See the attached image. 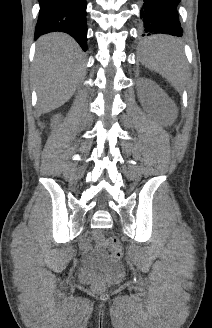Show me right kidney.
<instances>
[{"label": "right kidney", "mask_w": 212, "mask_h": 328, "mask_svg": "<svg viewBox=\"0 0 212 328\" xmlns=\"http://www.w3.org/2000/svg\"><path fill=\"white\" fill-rule=\"evenodd\" d=\"M59 118H60V115L59 114L53 116L52 124L56 123L59 120Z\"/></svg>", "instance_id": "right-kidney-1"}]
</instances>
